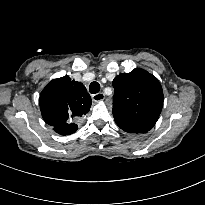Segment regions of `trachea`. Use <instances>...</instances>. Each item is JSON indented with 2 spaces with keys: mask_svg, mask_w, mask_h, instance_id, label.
Segmentation results:
<instances>
[{
  "mask_svg": "<svg viewBox=\"0 0 205 205\" xmlns=\"http://www.w3.org/2000/svg\"><path fill=\"white\" fill-rule=\"evenodd\" d=\"M89 91L91 94H96L100 91V84L96 81L92 82L89 86Z\"/></svg>",
  "mask_w": 205,
  "mask_h": 205,
  "instance_id": "obj_1",
  "label": "trachea"
}]
</instances>
